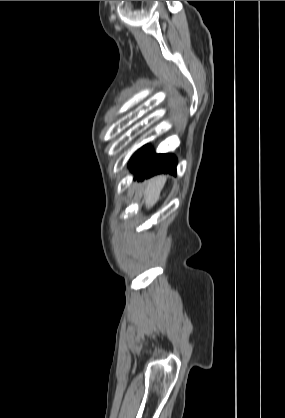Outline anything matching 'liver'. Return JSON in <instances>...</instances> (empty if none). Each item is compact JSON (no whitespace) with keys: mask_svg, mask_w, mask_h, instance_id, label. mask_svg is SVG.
Masks as SVG:
<instances>
[{"mask_svg":"<svg viewBox=\"0 0 285 418\" xmlns=\"http://www.w3.org/2000/svg\"><path fill=\"white\" fill-rule=\"evenodd\" d=\"M166 179V176L159 175L146 182V187L143 190L141 197H143V203L147 209L152 208L157 202L160 192L165 185Z\"/></svg>","mask_w":285,"mask_h":418,"instance_id":"liver-1","label":"liver"}]
</instances>
